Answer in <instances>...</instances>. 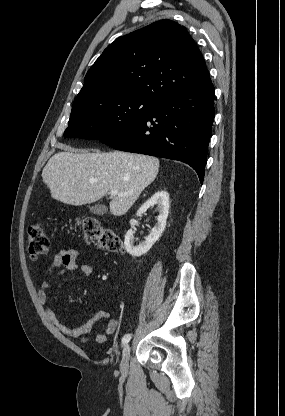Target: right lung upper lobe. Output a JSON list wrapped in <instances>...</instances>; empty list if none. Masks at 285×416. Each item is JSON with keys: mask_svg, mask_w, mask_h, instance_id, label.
<instances>
[{"mask_svg": "<svg viewBox=\"0 0 285 416\" xmlns=\"http://www.w3.org/2000/svg\"><path fill=\"white\" fill-rule=\"evenodd\" d=\"M211 82L204 59L184 26L160 20L117 38L85 76L72 110L140 97L161 104Z\"/></svg>", "mask_w": 285, "mask_h": 416, "instance_id": "obj_1", "label": "right lung upper lobe"}]
</instances>
